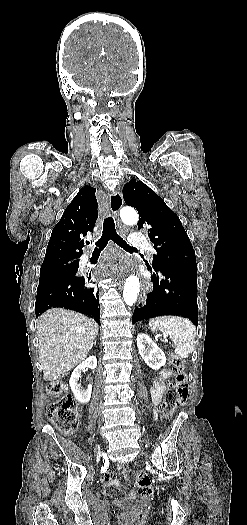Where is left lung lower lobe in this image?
<instances>
[{
	"label": "left lung lower lobe",
	"mask_w": 247,
	"mask_h": 525,
	"mask_svg": "<svg viewBox=\"0 0 247 525\" xmlns=\"http://www.w3.org/2000/svg\"><path fill=\"white\" fill-rule=\"evenodd\" d=\"M153 291L144 306L135 309L132 322L163 315H178L198 324L196 277L186 274L153 270Z\"/></svg>",
	"instance_id": "1"
}]
</instances>
